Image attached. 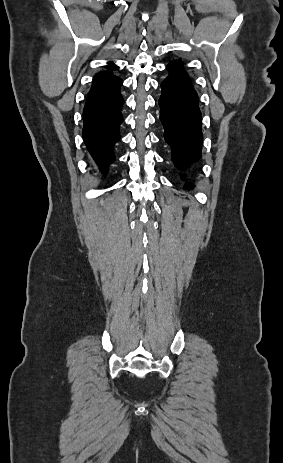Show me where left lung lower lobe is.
Returning a JSON list of instances; mask_svg holds the SVG:
<instances>
[{
    "instance_id": "0a47b994",
    "label": "left lung lower lobe",
    "mask_w": 283,
    "mask_h": 463,
    "mask_svg": "<svg viewBox=\"0 0 283 463\" xmlns=\"http://www.w3.org/2000/svg\"><path fill=\"white\" fill-rule=\"evenodd\" d=\"M169 76L161 83L160 120L165 141L172 148V160L180 170H188L201 157L202 132L198 95L181 63L167 65ZM192 187V184H186Z\"/></svg>"
}]
</instances>
